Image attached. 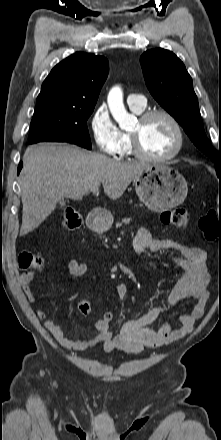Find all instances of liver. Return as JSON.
Wrapping results in <instances>:
<instances>
[{
  "label": "liver",
  "mask_w": 221,
  "mask_h": 440,
  "mask_svg": "<svg viewBox=\"0 0 221 440\" xmlns=\"http://www.w3.org/2000/svg\"><path fill=\"white\" fill-rule=\"evenodd\" d=\"M148 167L147 163L117 161L71 145L39 143L28 147L20 175V235L36 229L61 199L80 200L100 184L110 199L120 198Z\"/></svg>",
  "instance_id": "obj_1"
}]
</instances>
